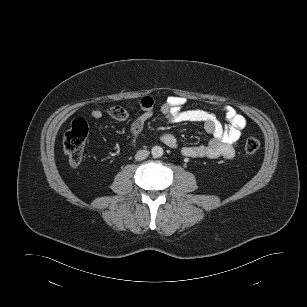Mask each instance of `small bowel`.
<instances>
[{"label": "small bowel", "mask_w": 307, "mask_h": 307, "mask_svg": "<svg viewBox=\"0 0 307 307\" xmlns=\"http://www.w3.org/2000/svg\"><path fill=\"white\" fill-rule=\"evenodd\" d=\"M186 100L180 96H170L161 107V112L169 124L178 123H200L205 131L211 136L204 145L186 146L182 148V155L187 158H208V159H232L235 155V146L242 136L246 127V119L238 113L232 106L221 105V110L225 114L227 125H223L217 117L204 109H185ZM140 109L142 111L131 124L128 144L134 146L139 134L144 129L148 120L154 114V100L143 97L137 105H131L128 109L122 106L109 108L108 115L115 120L125 121L129 117V110ZM90 116L94 120L103 117L101 110H92ZM161 141L170 148L177 147V138L172 133H165L161 136Z\"/></svg>", "instance_id": "1"}]
</instances>
